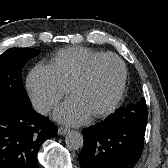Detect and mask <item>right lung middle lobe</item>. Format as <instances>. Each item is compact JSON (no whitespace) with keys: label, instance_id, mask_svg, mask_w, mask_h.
<instances>
[{"label":"right lung middle lobe","instance_id":"dd1d6c3e","mask_svg":"<svg viewBox=\"0 0 168 168\" xmlns=\"http://www.w3.org/2000/svg\"><path fill=\"white\" fill-rule=\"evenodd\" d=\"M39 52L33 48H11L0 55V101L32 106L22 84L21 70Z\"/></svg>","mask_w":168,"mask_h":168}]
</instances>
